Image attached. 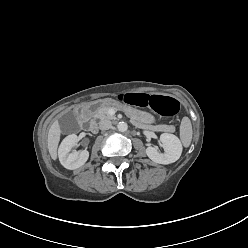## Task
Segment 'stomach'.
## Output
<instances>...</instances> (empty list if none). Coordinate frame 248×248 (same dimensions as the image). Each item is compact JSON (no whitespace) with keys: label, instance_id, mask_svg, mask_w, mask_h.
<instances>
[{"label":"stomach","instance_id":"0dacf381","mask_svg":"<svg viewBox=\"0 0 248 248\" xmlns=\"http://www.w3.org/2000/svg\"><path fill=\"white\" fill-rule=\"evenodd\" d=\"M110 106L112 108H117L123 113H126L134 120L140 123H150L153 121V118L150 114L145 112H140L136 109H132L131 107L125 105L123 102L112 100V99H101L93 102L89 105L90 111H95L101 107Z\"/></svg>","mask_w":248,"mask_h":248}]
</instances>
